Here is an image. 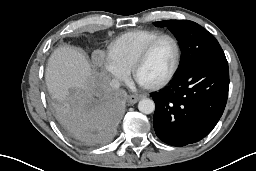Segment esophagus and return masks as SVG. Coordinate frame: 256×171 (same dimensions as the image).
Instances as JSON below:
<instances>
[{
	"label": "esophagus",
	"mask_w": 256,
	"mask_h": 171,
	"mask_svg": "<svg viewBox=\"0 0 256 171\" xmlns=\"http://www.w3.org/2000/svg\"><path fill=\"white\" fill-rule=\"evenodd\" d=\"M140 100V97L139 96H136V95H129L127 97V102L129 104H135L137 103L138 101Z\"/></svg>",
	"instance_id": "34e87169"
}]
</instances>
